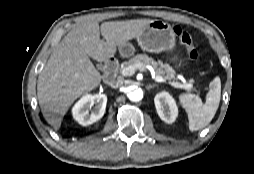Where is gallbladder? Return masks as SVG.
<instances>
[{
  "instance_id": "obj_1",
  "label": "gallbladder",
  "mask_w": 254,
  "mask_h": 174,
  "mask_svg": "<svg viewBox=\"0 0 254 174\" xmlns=\"http://www.w3.org/2000/svg\"><path fill=\"white\" fill-rule=\"evenodd\" d=\"M96 66H97V68H100V64L99 63H97Z\"/></svg>"
}]
</instances>
